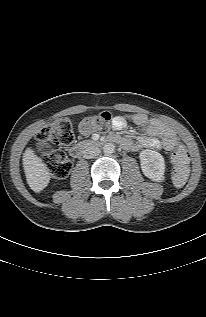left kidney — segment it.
Segmentation results:
<instances>
[{
	"instance_id": "left-kidney-1",
	"label": "left kidney",
	"mask_w": 206,
	"mask_h": 317,
	"mask_svg": "<svg viewBox=\"0 0 206 317\" xmlns=\"http://www.w3.org/2000/svg\"><path fill=\"white\" fill-rule=\"evenodd\" d=\"M143 174L149 179L162 182L165 173V161L163 156L153 150H143L139 154Z\"/></svg>"
}]
</instances>
